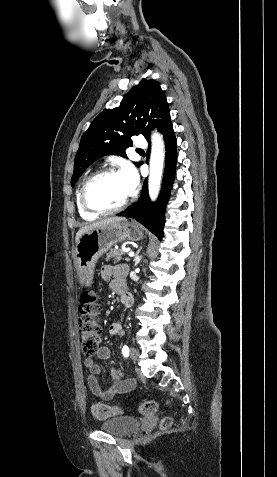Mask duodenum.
<instances>
[{
  "instance_id": "410a0bca",
  "label": "duodenum",
  "mask_w": 277,
  "mask_h": 477,
  "mask_svg": "<svg viewBox=\"0 0 277 477\" xmlns=\"http://www.w3.org/2000/svg\"><path fill=\"white\" fill-rule=\"evenodd\" d=\"M121 302L123 303L124 306L131 307L133 304V299L128 293H122Z\"/></svg>"
}]
</instances>
